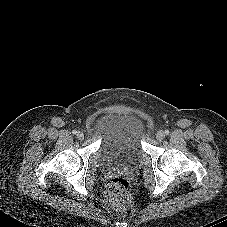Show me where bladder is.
Returning a JSON list of instances; mask_svg holds the SVG:
<instances>
[{
	"label": "bladder",
	"instance_id": "obj_1",
	"mask_svg": "<svg viewBox=\"0 0 227 227\" xmlns=\"http://www.w3.org/2000/svg\"><path fill=\"white\" fill-rule=\"evenodd\" d=\"M142 126L141 118L128 111H107L96 118L91 128L100 135L105 166H130L141 159Z\"/></svg>",
	"mask_w": 227,
	"mask_h": 227
}]
</instances>
